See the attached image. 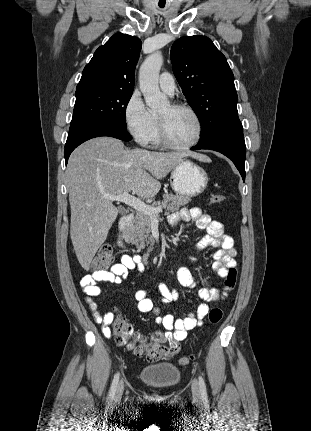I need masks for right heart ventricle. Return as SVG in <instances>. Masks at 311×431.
Listing matches in <instances>:
<instances>
[{
    "label": "right heart ventricle",
    "mask_w": 311,
    "mask_h": 431,
    "mask_svg": "<svg viewBox=\"0 0 311 431\" xmlns=\"http://www.w3.org/2000/svg\"><path fill=\"white\" fill-rule=\"evenodd\" d=\"M149 141H151L153 144L158 145L160 144V141L158 139V123H157V116L155 114H152V122L149 130Z\"/></svg>",
    "instance_id": "right-heart-ventricle-1"
}]
</instances>
